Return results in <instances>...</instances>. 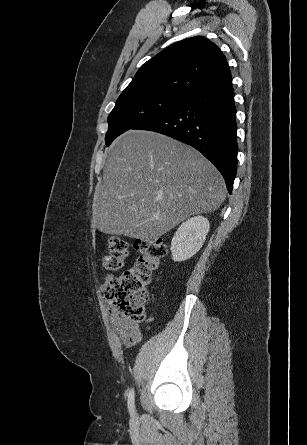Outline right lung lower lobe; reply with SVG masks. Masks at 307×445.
<instances>
[{
	"mask_svg": "<svg viewBox=\"0 0 307 445\" xmlns=\"http://www.w3.org/2000/svg\"><path fill=\"white\" fill-rule=\"evenodd\" d=\"M132 129L162 133L196 148L221 172L231 194L237 171L236 108L231 75Z\"/></svg>",
	"mask_w": 307,
	"mask_h": 445,
	"instance_id": "1",
	"label": "right lung lower lobe"
}]
</instances>
